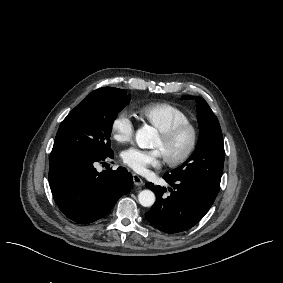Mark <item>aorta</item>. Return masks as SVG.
Masks as SVG:
<instances>
[{
	"instance_id": "obj_1",
	"label": "aorta",
	"mask_w": 283,
	"mask_h": 283,
	"mask_svg": "<svg viewBox=\"0 0 283 283\" xmlns=\"http://www.w3.org/2000/svg\"><path fill=\"white\" fill-rule=\"evenodd\" d=\"M157 137V130L151 126H143L136 132V142L141 148H151ZM155 194L151 190H142L138 194V201L143 207H151L155 203Z\"/></svg>"
}]
</instances>
